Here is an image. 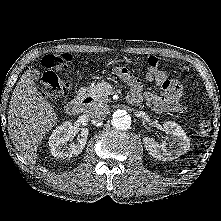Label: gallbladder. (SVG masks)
<instances>
[{
	"label": "gallbladder",
	"instance_id": "gallbladder-1",
	"mask_svg": "<svg viewBox=\"0 0 221 221\" xmlns=\"http://www.w3.org/2000/svg\"><path fill=\"white\" fill-rule=\"evenodd\" d=\"M31 75L34 80H38L40 78V72L36 69L31 71Z\"/></svg>",
	"mask_w": 221,
	"mask_h": 221
}]
</instances>
